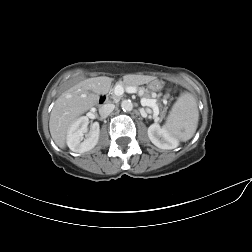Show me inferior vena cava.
Listing matches in <instances>:
<instances>
[{"mask_svg":"<svg viewBox=\"0 0 252 252\" xmlns=\"http://www.w3.org/2000/svg\"><path fill=\"white\" fill-rule=\"evenodd\" d=\"M114 104H104L99 107V114L101 117H107L114 110Z\"/></svg>","mask_w":252,"mask_h":252,"instance_id":"obj_1","label":"inferior vena cava"}]
</instances>
